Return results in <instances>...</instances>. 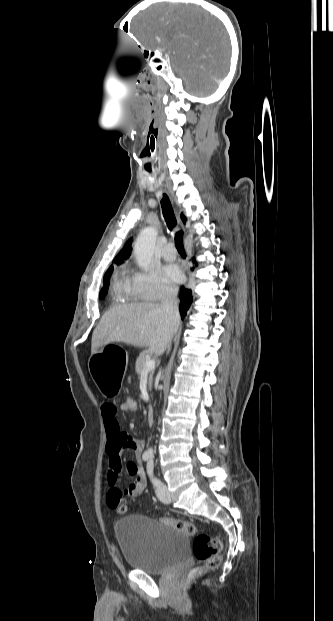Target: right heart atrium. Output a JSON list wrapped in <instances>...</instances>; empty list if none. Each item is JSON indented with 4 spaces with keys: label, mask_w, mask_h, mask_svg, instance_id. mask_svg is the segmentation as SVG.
<instances>
[{
    "label": "right heart atrium",
    "mask_w": 333,
    "mask_h": 621,
    "mask_svg": "<svg viewBox=\"0 0 333 621\" xmlns=\"http://www.w3.org/2000/svg\"><path fill=\"white\" fill-rule=\"evenodd\" d=\"M132 287L139 299L149 302L164 300L176 294V288L153 268L135 272Z\"/></svg>",
    "instance_id": "d8ad5b80"
}]
</instances>
